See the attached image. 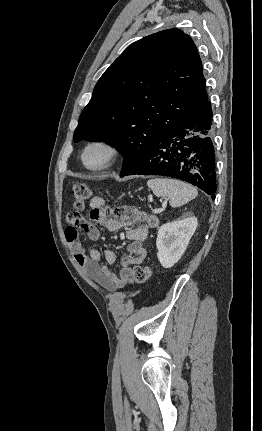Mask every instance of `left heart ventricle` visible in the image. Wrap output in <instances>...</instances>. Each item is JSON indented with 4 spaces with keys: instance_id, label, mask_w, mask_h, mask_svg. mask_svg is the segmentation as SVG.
<instances>
[{
    "instance_id": "b2bd125f",
    "label": "left heart ventricle",
    "mask_w": 262,
    "mask_h": 431,
    "mask_svg": "<svg viewBox=\"0 0 262 431\" xmlns=\"http://www.w3.org/2000/svg\"><path fill=\"white\" fill-rule=\"evenodd\" d=\"M105 157V152L101 148H94L86 155V163L89 166L100 165Z\"/></svg>"
}]
</instances>
